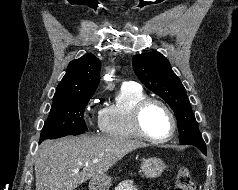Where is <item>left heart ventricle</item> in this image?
<instances>
[{
    "instance_id": "obj_1",
    "label": "left heart ventricle",
    "mask_w": 238,
    "mask_h": 190,
    "mask_svg": "<svg viewBox=\"0 0 238 190\" xmlns=\"http://www.w3.org/2000/svg\"><path fill=\"white\" fill-rule=\"evenodd\" d=\"M144 129L153 137L166 136L171 128L169 116L159 105L149 106L143 114Z\"/></svg>"
}]
</instances>
